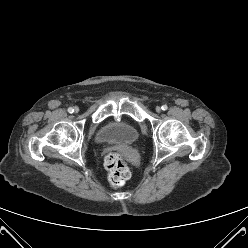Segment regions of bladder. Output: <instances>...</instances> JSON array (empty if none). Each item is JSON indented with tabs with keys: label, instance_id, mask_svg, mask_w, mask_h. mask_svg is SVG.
Wrapping results in <instances>:
<instances>
[{
	"label": "bladder",
	"instance_id": "obj_1",
	"mask_svg": "<svg viewBox=\"0 0 248 248\" xmlns=\"http://www.w3.org/2000/svg\"><path fill=\"white\" fill-rule=\"evenodd\" d=\"M138 130L131 123L125 121H112L105 124L96 133L99 143L116 142L131 144L138 138Z\"/></svg>",
	"mask_w": 248,
	"mask_h": 248
}]
</instances>
